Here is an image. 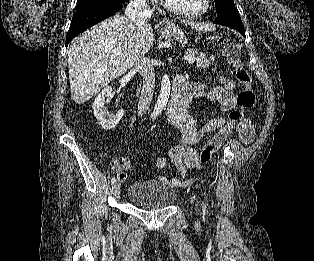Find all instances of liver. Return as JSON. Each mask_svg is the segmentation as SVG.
Masks as SVG:
<instances>
[{"mask_svg":"<svg viewBox=\"0 0 314 261\" xmlns=\"http://www.w3.org/2000/svg\"><path fill=\"white\" fill-rule=\"evenodd\" d=\"M151 25L137 31L128 17L116 14L93 26L77 39L68 51L72 99L81 104L97 95L114 79L134 66L137 55L152 46ZM106 69L101 72L100 70Z\"/></svg>","mask_w":314,"mask_h":261,"instance_id":"obj_1","label":"liver"}]
</instances>
